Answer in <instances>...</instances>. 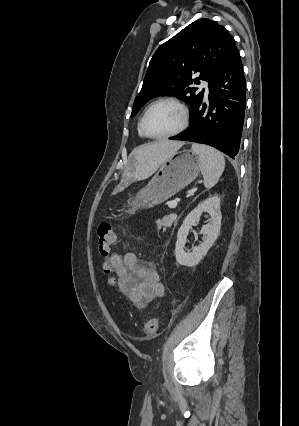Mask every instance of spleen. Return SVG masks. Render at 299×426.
<instances>
[{
    "instance_id": "obj_1",
    "label": "spleen",
    "mask_w": 299,
    "mask_h": 426,
    "mask_svg": "<svg viewBox=\"0 0 299 426\" xmlns=\"http://www.w3.org/2000/svg\"><path fill=\"white\" fill-rule=\"evenodd\" d=\"M192 151L199 156L204 186L212 188L219 180L225 168V159L216 149L202 144H193Z\"/></svg>"
}]
</instances>
